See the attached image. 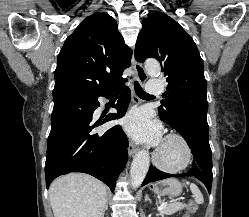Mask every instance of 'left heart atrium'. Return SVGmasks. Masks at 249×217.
<instances>
[{
  "mask_svg": "<svg viewBox=\"0 0 249 217\" xmlns=\"http://www.w3.org/2000/svg\"><path fill=\"white\" fill-rule=\"evenodd\" d=\"M126 131L138 141L158 144L161 137V127L153 122L149 114L143 110L130 112L123 121Z\"/></svg>",
  "mask_w": 249,
  "mask_h": 217,
  "instance_id": "left-heart-atrium-1",
  "label": "left heart atrium"
}]
</instances>
